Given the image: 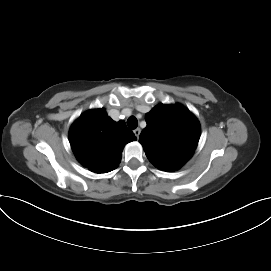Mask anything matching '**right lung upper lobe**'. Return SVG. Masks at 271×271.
Instances as JSON below:
<instances>
[{
  "label": "right lung upper lobe",
  "instance_id": "right-lung-upper-lobe-1",
  "mask_svg": "<svg viewBox=\"0 0 271 271\" xmlns=\"http://www.w3.org/2000/svg\"><path fill=\"white\" fill-rule=\"evenodd\" d=\"M69 140L77 160L94 173H107L120 163L125 144L136 140L124 121L115 122L104 109L89 110L71 126Z\"/></svg>",
  "mask_w": 271,
  "mask_h": 271
}]
</instances>
